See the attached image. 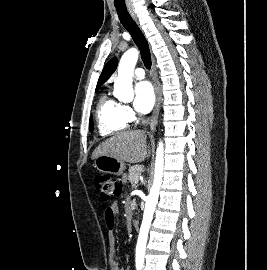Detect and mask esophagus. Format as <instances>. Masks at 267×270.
I'll return each instance as SVG.
<instances>
[{
    "label": "esophagus",
    "instance_id": "esophagus-1",
    "mask_svg": "<svg viewBox=\"0 0 267 270\" xmlns=\"http://www.w3.org/2000/svg\"><path fill=\"white\" fill-rule=\"evenodd\" d=\"M128 10H129V13L131 14L132 18L137 22V18H136V15H135L133 9L129 8ZM151 59H152V80H153V84L155 87V93H156V104H155L154 111H153V114L151 117V133L153 134L156 130V125L158 122L161 94H160L159 81H158V77H157L155 58L153 55H151Z\"/></svg>",
    "mask_w": 267,
    "mask_h": 270
}]
</instances>
